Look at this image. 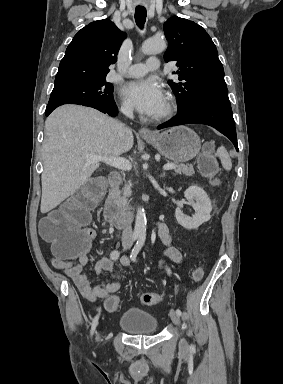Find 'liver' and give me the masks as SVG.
<instances>
[{"mask_svg":"<svg viewBox=\"0 0 283 384\" xmlns=\"http://www.w3.org/2000/svg\"><path fill=\"white\" fill-rule=\"evenodd\" d=\"M47 136L42 148L43 174L40 210L47 214L90 180L99 168L86 164L87 154L120 156L133 146L129 128L121 140L119 122L93 108L65 104L56 108L45 122Z\"/></svg>","mask_w":283,"mask_h":384,"instance_id":"liver-1","label":"liver"}]
</instances>
